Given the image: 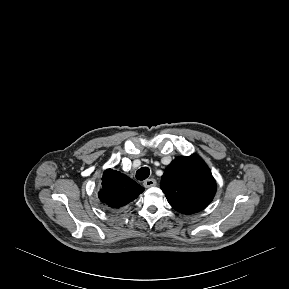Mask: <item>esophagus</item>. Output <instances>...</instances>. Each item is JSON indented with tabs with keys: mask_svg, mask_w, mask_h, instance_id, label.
Returning a JSON list of instances; mask_svg holds the SVG:
<instances>
[{
	"mask_svg": "<svg viewBox=\"0 0 289 289\" xmlns=\"http://www.w3.org/2000/svg\"><path fill=\"white\" fill-rule=\"evenodd\" d=\"M157 184L156 180L153 179V178H149V179H146L143 183V185L146 187V188H149V187H153Z\"/></svg>",
	"mask_w": 289,
	"mask_h": 289,
	"instance_id": "obj_1",
	"label": "esophagus"
}]
</instances>
